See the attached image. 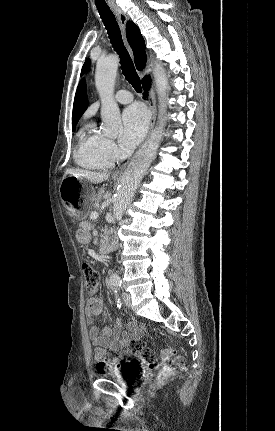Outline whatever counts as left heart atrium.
Instances as JSON below:
<instances>
[{
    "label": "left heart atrium",
    "instance_id": "1",
    "mask_svg": "<svg viewBox=\"0 0 275 431\" xmlns=\"http://www.w3.org/2000/svg\"><path fill=\"white\" fill-rule=\"evenodd\" d=\"M122 122L119 143L125 149H132L138 145L146 133L148 114L141 105L134 104L125 109Z\"/></svg>",
    "mask_w": 275,
    "mask_h": 431
}]
</instances>
